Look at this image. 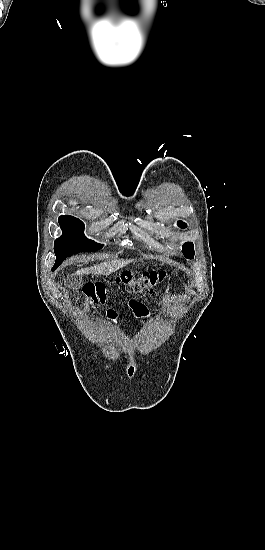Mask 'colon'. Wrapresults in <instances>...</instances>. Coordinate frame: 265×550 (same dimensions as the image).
Masks as SVG:
<instances>
[{"label":"colon","mask_w":265,"mask_h":550,"mask_svg":"<svg viewBox=\"0 0 265 550\" xmlns=\"http://www.w3.org/2000/svg\"><path fill=\"white\" fill-rule=\"evenodd\" d=\"M167 274L162 271L124 272L117 277V284L128 293L152 295L157 292L158 286L166 279ZM108 288L101 282L86 283L83 287V304L86 309L95 308L106 303ZM109 315H115L109 310Z\"/></svg>","instance_id":"obj_1"}]
</instances>
